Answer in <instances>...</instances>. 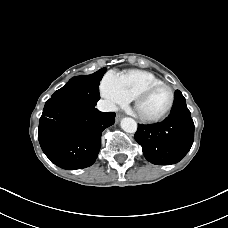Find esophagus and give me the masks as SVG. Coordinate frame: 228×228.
<instances>
[{"label":"esophagus","mask_w":228,"mask_h":228,"mask_svg":"<svg viewBox=\"0 0 228 228\" xmlns=\"http://www.w3.org/2000/svg\"><path fill=\"white\" fill-rule=\"evenodd\" d=\"M121 118H122V116L120 114H117L116 115V122H119Z\"/></svg>","instance_id":"1"}]
</instances>
